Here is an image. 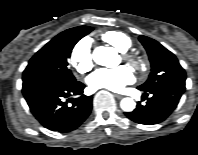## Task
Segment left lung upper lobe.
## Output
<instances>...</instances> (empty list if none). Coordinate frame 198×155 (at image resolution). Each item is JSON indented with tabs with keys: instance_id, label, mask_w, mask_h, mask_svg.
I'll return each instance as SVG.
<instances>
[{
	"instance_id": "obj_1",
	"label": "left lung upper lobe",
	"mask_w": 198,
	"mask_h": 155,
	"mask_svg": "<svg viewBox=\"0 0 198 155\" xmlns=\"http://www.w3.org/2000/svg\"><path fill=\"white\" fill-rule=\"evenodd\" d=\"M139 40L148 53L151 62V73L148 80L138 89L150 91L163 85L185 87L186 73L175 55L149 37L141 35Z\"/></svg>"
}]
</instances>
